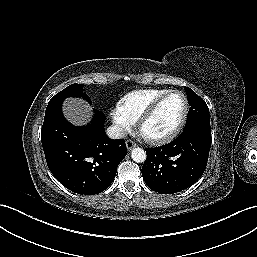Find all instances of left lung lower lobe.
Listing matches in <instances>:
<instances>
[{"label":"left lung lower lobe","instance_id":"1","mask_svg":"<svg viewBox=\"0 0 257 257\" xmlns=\"http://www.w3.org/2000/svg\"><path fill=\"white\" fill-rule=\"evenodd\" d=\"M211 147V129L183 130L175 140L147 148L142 167L145 183L162 194L180 192L193 185L204 173Z\"/></svg>","mask_w":257,"mask_h":257}]
</instances>
